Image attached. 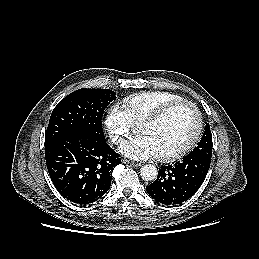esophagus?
Returning <instances> with one entry per match:
<instances>
[{"label":"esophagus","mask_w":259,"mask_h":259,"mask_svg":"<svg viewBox=\"0 0 259 259\" xmlns=\"http://www.w3.org/2000/svg\"><path fill=\"white\" fill-rule=\"evenodd\" d=\"M123 163L130 164L134 167H140L141 166V163H135V162H131V161H128V160H123Z\"/></svg>","instance_id":"34e87169"}]
</instances>
